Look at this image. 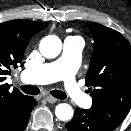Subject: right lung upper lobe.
<instances>
[{"mask_svg": "<svg viewBox=\"0 0 131 131\" xmlns=\"http://www.w3.org/2000/svg\"><path fill=\"white\" fill-rule=\"evenodd\" d=\"M47 26V23L30 20L0 23V131L13 128L29 98L16 88L10 90V85L4 82L6 76L21 62L32 36Z\"/></svg>", "mask_w": 131, "mask_h": 131, "instance_id": "1", "label": "right lung upper lobe"}]
</instances>
